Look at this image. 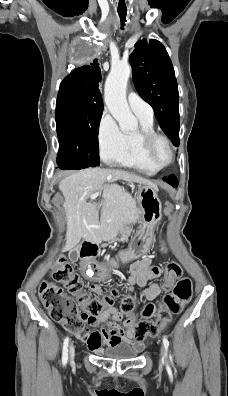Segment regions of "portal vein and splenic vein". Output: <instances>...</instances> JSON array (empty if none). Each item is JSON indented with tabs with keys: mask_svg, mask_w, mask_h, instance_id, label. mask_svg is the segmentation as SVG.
<instances>
[{
	"mask_svg": "<svg viewBox=\"0 0 228 396\" xmlns=\"http://www.w3.org/2000/svg\"><path fill=\"white\" fill-rule=\"evenodd\" d=\"M98 195H99V193L96 192V193H94V194H92V195L90 196V199H91V200H95V199L98 197Z\"/></svg>",
	"mask_w": 228,
	"mask_h": 396,
	"instance_id": "18ae733b",
	"label": "portal vein and splenic vein"
}]
</instances>
